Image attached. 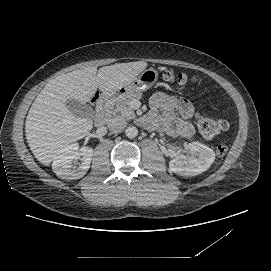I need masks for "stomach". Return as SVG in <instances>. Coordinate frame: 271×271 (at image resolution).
Masks as SVG:
<instances>
[{"mask_svg":"<svg viewBox=\"0 0 271 271\" xmlns=\"http://www.w3.org/2000/svg\"><path fill=\"white\" fill-rule=\"evenodd\" d=\"M158 79V72L153 69L143 70L134 80L124 84L115 90L109 91L110 96L117 100L124 98L130 93H141L150 89Z\"/></svg>","mask_w":271,"mask_h":271,"instance_id":"stomach-1","label":"stomach"}]
</instances>
